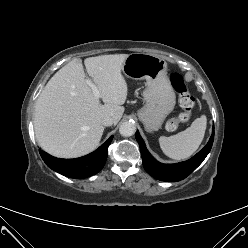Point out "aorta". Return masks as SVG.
<instances>
[{
	"mask_svg": "<svg viewBox=\"0 0 248 248\" xmlns=\"http://www.w3.org/2000/svg\"><path fill=\"white\" fill-rule=\"evenodd\" d=\"M136 131V126L132 122H124L120 125L119 132L122 136H132Z\"/></svg>",
	"mask_w": 248,
	"mask_h": 248,
	"instance_id": "obj_1",
	"label": "aorta"
}]
</instances>
